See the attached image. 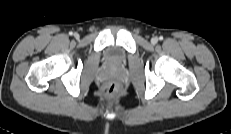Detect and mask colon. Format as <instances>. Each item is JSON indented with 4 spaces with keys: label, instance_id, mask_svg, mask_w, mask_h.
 Instances as JSON below:
<instances>
[{
    "label": "colon",
    "instance_id": "colon-1",
    "mask_svg": "<svg viewBox=\"0 0 231 134\" xmlns=\"http://www.w3.org/2000/svg\"><path fill=\"white\" fill-rule=\"evenodd\" d=\"M119 93V87L116 84H109L104 89V94L108 97H113Z\"/></svg>",
    "mask_w": 231,
    "mask_h": 134
}]
</instances>
